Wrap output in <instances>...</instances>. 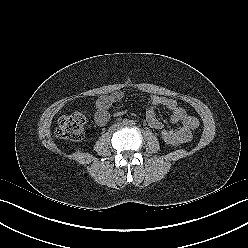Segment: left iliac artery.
I'll return each instance as SVG.
<instances>
[{"mask_svg":"<svg viewBox=\"0 0 248 248\" xmlns=\"http://www.w3.org/2000/svg\"><path fill=\"white\" fill-rule=\"evenodd\" d=\"M130 122H131V123H130L131 125L135 124L134 121H130Z\"/></svg>","mask_w":248,"mask_h":248,"instance_id":"1","label":"left iliac artery"}]
</instances>
